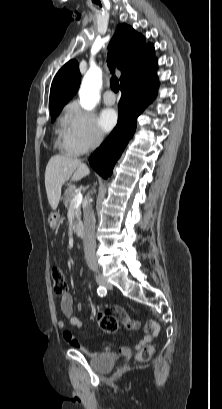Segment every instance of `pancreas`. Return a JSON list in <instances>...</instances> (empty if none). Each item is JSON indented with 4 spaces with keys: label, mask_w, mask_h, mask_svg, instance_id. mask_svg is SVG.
I'll list each match as a JSON object with an SVG mask.
<instances>
[{
    "label": "pancreas",
    "mask_w": 222,
    "mask_h": 409,
    "mask_svg": "<svg viewBox=\"0 0 222 409\" xmlns=\"http://www.w3.org/2000/svg\"><path fill=\"white\" fill-rule=\"evenodd\" d=\"M75 190H76L75 186H72V185H68L67 188L65 189L63 201L67 208L72 207V200L76 196ZM75 216L77 220L81 219V208L80 207L75 208Z\"/></svg>",
    "instance_id": "1"
}]
</instances>
